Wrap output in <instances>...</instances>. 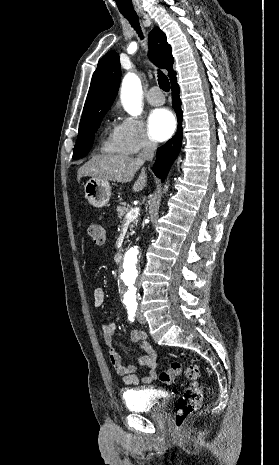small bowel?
Listing matches in <instances>:
<instances>
[{
  "instance_id": "small-bowel-1",
  "label": "small bowel",
  "mask_w": 279,
  "mask_h": 465,
  "mask_svg": "<svg viewBox=\"0 0 279 465\" xmlns=\"http://www.w3.org/2000/svg\"><path fill=\"white\" fill-rule=\"evenodd\" d=\"M106 298V293L103 288H95L93 291V303L96 307L101 306ZM101 332L105 344L109 347V359L116 373L122 377L123 384L126 386H135L140 383L136 372V365H125L122 362L120 354L112 347L113 336L116 332V324L114 322H103ZM129 340L132 343H137L144 351V354L138 359V366L146 367L147 374L141 379L144 384H150L157 378L156 368L158 365V356L152 344L147 339L144 332L134 330L129 335Z\"/></svg>"
}]
</instances>
